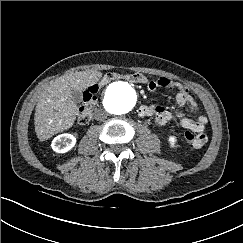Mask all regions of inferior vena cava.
Masks as SVG:
<instances>
[{
  "instance_id": "inferior-vena-cava-1",
  "label": "inferior vena cava",
  "mask_w": 243,
  "mask_h": 243,
  "mask_svg": "<svg viewBox=\"0 0 243 243\" xmlns=\"http://www.w3.org/2000/svg\"><path fill=\"white\" fill-rule=\"evenodd\" d=\"M93 116L96 120L102 121L107 118L108 113L103 109H96L93 113Z\"/></svg>"
}]
</instances>
